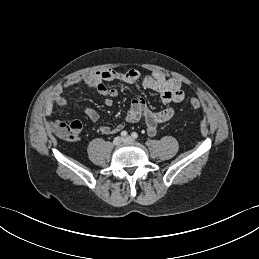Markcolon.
<instances>
[{
	"instance_id": "1",
	"label": "colon",
	"mask_w": 259,
	"mask_h": 259,
	"mask_svg": "<svg viewBox=\"0 0 259 259\" xmlns=\"http://www.w3.org/2000/svg\"><path fill=\"white\" fill-rule=\"evenodd\" d=\"M200 106L201 104L198 99L194 98L190 101V107L192 109H198ZM47 129L50 133L55 134L63 140L72 141L78 137L82 129V125L79 121L52 122L48 124Z\"/></svg>"
}]
</instances>
